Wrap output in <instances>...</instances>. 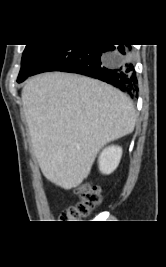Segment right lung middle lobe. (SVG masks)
<instances>
[{"instance_id": "dd1d6c3e", "label": "right lung middle lobe", "mask_w": 166, "mask_h": 267, "mask_svg": "<svg viewBox=\"0 0 166 267\" xmlns=\"http://www.w3.org/2000/svg\"><path fill=\"white\" fill-rule=\"evenodd\" d=\"M54 44L26 45L22 55L21 70L17 79L18 83L23 82L42 59L53 49Z\"/></svg>"}]
</instances>
